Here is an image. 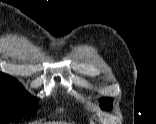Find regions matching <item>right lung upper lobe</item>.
Wrapping results in <instances>:
<instances>
[{
    "instance_id": "cb5924a9",
    "label": "right lung upper lobe",
    "mask_w": 156,
    "mask_h": 124,
    "mask_svg": "<svg viewBox=\"0 0 156 124\" xmlns=\"http://www.w3.org/2000/svg\"><path fill=\"white\" fill-rule=\"evenodd\" d=\"M0 77H7V78H12L11 76L7 75V74H4L2 72H0ZM14 79V78H13Z\"/></svg>"
}]
</instances>
